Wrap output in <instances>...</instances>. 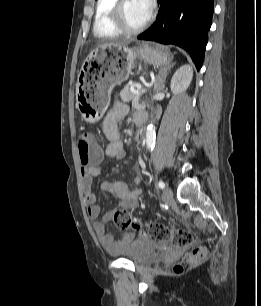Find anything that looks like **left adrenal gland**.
Segmentation results:
<instances>
[{"label": "left adrenal gland", "instance_id": "left-adrenal-gland-1", "mask_svg": "<svg viewBox=\"0 0 261 306\" xmlns=\"http://www.w3.org/2000/svg\"><path fill=\"white\" fill-rule=\"evenodd\" d=\"M175 65V63H168L167 65L163 66L156 77L155 83H154V89L156 91H160L165 86V81L168 73L170 72L171 68Z\"/></svg>", "mask_w": 261, "mask_h": 306}]
</instances>
